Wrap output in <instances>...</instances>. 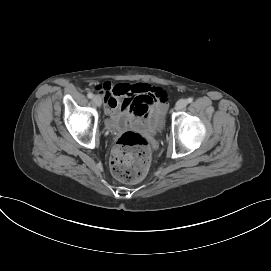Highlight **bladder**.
Returning <instances> with one entry per match:
<instances>
[{
  "instance_id": "31cf9c89",
  "label": "bladder",
  "mask_w": 271,
  "mask_h": 271,
  "mask_svg": "<svg viewBox=\"0 0 271 271\" xmlns=\"http://www.w3.org/2000/svg\"><path fill=\"white\" fill-rule=\"evenodd\" d=\"M163 127V119L160 117L157 120H153L150 124V129L153 131H160Z\"/></svg>"
}]
</instances>
